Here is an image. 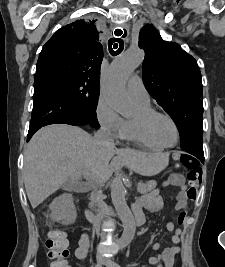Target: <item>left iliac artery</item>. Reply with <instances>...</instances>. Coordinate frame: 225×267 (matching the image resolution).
Returning a JSON list of instances; mask_svg holds the SVG:
<instances>
[{
    "label": "left iliac artery",
    "instance_id": "obj_1",
    "mask_svg": "<svg viewBox=\"0 0 225 267\" xmlns=\"http://www.w3.org/2000/svg\"><path fill=\"white\" fill-rule=\"evenodd\" d=\"M115 267H121L119 264L115 263Z\"/></svg>",
    "mask_w": 225,
    "mask_h": 267
}]
</instances>
